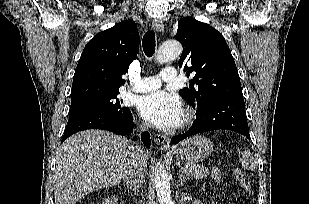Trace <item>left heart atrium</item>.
I'll return each instance as SVG.
<instances>
[{
    "label": "left heart atrium",
    "mask_w": 309,
    "mask_h": 204,
    "mask_svg": "<svg viewBox=\"0 0 309 204\" xmlns=\"http://www.w3.org/2000/svg\"><path fill=\"white\" fill-rule=\"evenodd\" d=\"M138 109L146 120L162 129L176 127L183 115L178 97L165 91H156L140 97Z\"/></svg>",
    "instance_id": "left-heart-atrium-1"
}]
</instances>
